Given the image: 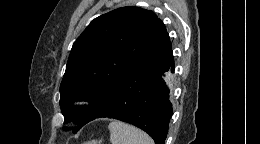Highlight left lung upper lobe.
<instances>
[{
	"label": "left lung upper lobe",
	"instance_id": "5c2ea615",
	"mask_svg": "<svg viewBox=\"0 0 260 144\" xmlns=\"http://www.w3.org/2000/svg\"><path fill=\"white\" fill-rule=\"evenodd\" d=\"M170 44L163 22L150 10L135 6L115 9L91 21L73 43L60 85L65 123L77 121L76 133L102 112L122 79ZM162 74L171 62H158ZM76 101L90 105L74 108Z\"/></svg>",
	"mask_w": 260,
	"mask_h": 144
}]
</instances>
